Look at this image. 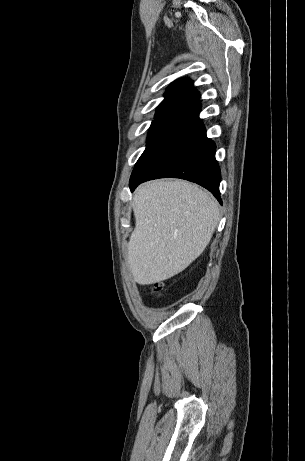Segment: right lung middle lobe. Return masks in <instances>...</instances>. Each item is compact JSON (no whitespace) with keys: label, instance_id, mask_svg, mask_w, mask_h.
<instances>
[{"label":"right lung middle lobe","instance_id":"dd1d6c3e","mask_svg":"<svg viewBox=\"0 0 305 461\" xmlns=\"http://www.w3.org/2000/svg\"><path fill=\"white\" fill-rule=\"evenodd\" d=\"M181 107H161L156 109L155 121L150 126L148 143L143 154L140 156V162L144 159L161 141L165 139L179 118L187 111Z\"/></svg>","mask_w":305,"mask_h":461}]
</instances>
